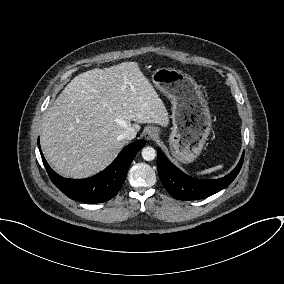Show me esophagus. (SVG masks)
I'll use <instances>...</instances> for the list:
<instances>
[{
	"instance_id": "34e87169",
	"label": "esophagus",
	"mask_w": 284,
	"mask_h": 284,
	"mask_svg": "<svg viewBox=\"0 0 284 284\" xmlns=\"http://www.w3.org/2000/svg\"><path fill=\"white\" fill-rule=\"evenodd\" d=\"M144 136L147 140H154L158 137L157 129L154 127H148L145 132Z\"/></svg>"
}]
</instances>
